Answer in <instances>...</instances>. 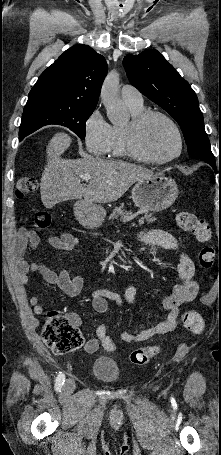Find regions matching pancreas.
<instances>
[{
  "mask_svg": "<svg viewBox=\"0 0 221 455\" xmlns=\"http://www.w3.org/2000/svg\"><path fill=\"white\" fill-rule=\"evenodd\" d=\"M143 217L139 219V224L142 225L144 221L148 223H153L156 218L153 217L148 211L142 212ZM133 214L131 211H126L122 207H116L113 209V212L109 215V219H120L123 222H127L133 218ZM134 226V224H133Z\"/></svg>",
  "mask_w": 221,
  "mask_h": 455,
  "instance_id": "pancreas-1",
  "label": "pancreas"
}]
</instances>
